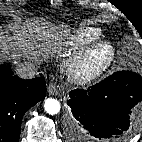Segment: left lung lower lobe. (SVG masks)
I'll use <instances>...</instances> for the list:
<instances>
[{
	"label": "left lung lower lobe",
	"mask_w": 142,
	"mask_h": 142,
	"mask_svg": "<svg viewBox=\"0 0 142 142\" xmlns=\"http://www.w3.org/2000/svg\"><path fill=\"white\" fill-rule=\"evenodd\" d=\"M141 101L142 78L131 71L113 73L87 90H73L68 105L80 128L73 129L71 138L124 142L130 136L132 110Z\"/></svg>",
	"instance_id": "left-lung-lower-lobe-1"
}]
</instances>
